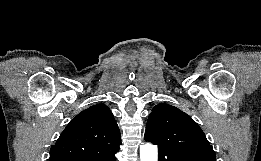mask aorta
Masks as SVG:
<instances>
[{"label":"aorta","instance_id":"aorta-1","mask_svg":"<svg viewBox=\"0 0 261 161\" xmlns=\"http://www.w3.org/2000/svg\"><path fill=\"white\" fill-rule=\"evenodd\" d=\"M141 161H158V149L156 145L146 143L140 146Z\"/></svg>","mask_w":261,"mask_h":161}]
</instances>
